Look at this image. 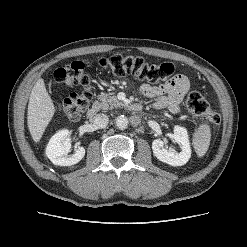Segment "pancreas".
Masks as SVG:
<instances>
[{"label": "pancreas", "mask_w": 247, "mask_h": 247, "mask_svg": "<svg viewBox=\"0 0 247 247\" xmlns=\"http://www.w3.org/2000/svg\"><path fill=\"white\" fill-rule=\"evenodd\" d=\"M98 100L99 101L96 102V104L104 111L111 110L113 108H122L124 106V103L119 101L112 93H101L98 96Z\"/></svg>", "instance_id": "obj_1"}]
</instances>
